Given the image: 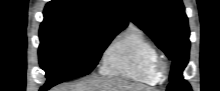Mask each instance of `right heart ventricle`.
I'll use <instances>...</instances> for the list:
<instances>
[{"mask_svg":"<svg viewBox=\"0 0 220 91\" xmlns=\"http://www.w3.org/2000/svg\"><path fill=\"white\" fill-rule=\"evenodd\" d=\"M158 60L159 52L154 43L141 28L131 25L105 51L100 72L155 85L160 81Z\"/></svg>","mask_w":220,"mask_h":91,"instance_id":"right-heart-ventricle-1","label":"right heart ventricle"}]
</instances>
